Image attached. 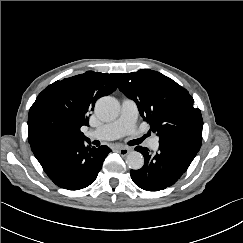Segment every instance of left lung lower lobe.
<instances>
[{"instance_id":"1","label":"left lung lower lobe","mask_w":243,"mask_h":243,"mask_svg":"<svg viewBox=\"0 0 243 243\" xmlns=\"http://www.w3.org/2000/svg\"><path fill=\"white\" fill-rule=\"evenodd\" d=\"M201 143L200 136L184 135L160 143L153 155L145 147H136L145 161L141 169L130 171L133 182L146 191H159L173 185L188 169Z\"/></svg>"}]
</instances>
